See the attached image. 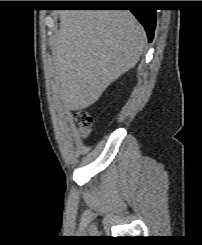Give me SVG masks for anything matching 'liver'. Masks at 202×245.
I'll return each mask as SVG.
<instances>
[{"label": "liver", "mask_w": 202, "mask_h": 245, "mask_svg": "<svg viewBox=\"0 0 202 245\" xmlns=\"http://www.w3.org/2000/svg\"><path fill=\"white\" fill-rule=\"evenodd\" d=\"M143 27L128 10H67L53 41L55 81L68 110L93 105L135 67L145 47Z\"/></svg>", "instance_id": "obj_1"}]
</instances>
